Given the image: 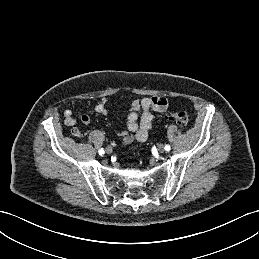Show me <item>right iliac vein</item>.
<instances>
[{"label": "right iliac vein", "instance_id": "right-iliac-vein-1", "mask_svg": "<svg viewBox=\"0 0 259 259\" xmlns=\"http://www.w3.org/2000/svg\"><path fill=\"white\" fill-rule=\"evenodd\" d=\"M105 151L107 154H111L113 152V149H112V147L108 146V147H106Z\"/></svg>", "mask_w": 259, "mask_h": 259}]
</instances>
